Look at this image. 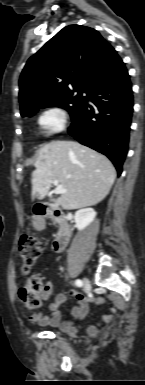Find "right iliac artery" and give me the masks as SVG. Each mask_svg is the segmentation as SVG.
Segmentation results:
<instances>
[{
	"mask_svg": "<svg viewBox=\"0 0 145 385\" xmlns=\"http://www.w3.org/2000/svg\"><path fill=\"white\" fill-rule=\"evenodd\" d=\"M75 284H76V286L81 287L82 286V281L80 279H77L75 281Z\"/></svg>",
	"mask_w": 145,
	"mask_h": 385,
	"instance_id": "obj_1",
	"label": "right iliac artery"
}]
</instances>
